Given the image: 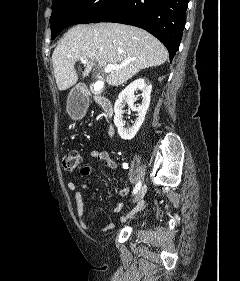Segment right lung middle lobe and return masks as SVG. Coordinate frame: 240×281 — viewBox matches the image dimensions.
Instances as JSON below:
<instances>
[{
	"label": "right lung middle lobe",
	"mask_w": 240,
	"mask_h": 281,
	"mask_svg": "<svg viewBox=\"0 0 240 281\" xmlns=\"http://www.w3.org/2000/svg\"><path fill=\"white\" fill-rule=\"evenodd\" d=\"M118 0H52L50 17L51 39L66 27L74 24L93 23L106 13Z\"/></svg>",
	"instance_id": "right-lung-middle-lobe-1"
}]
</instances>
